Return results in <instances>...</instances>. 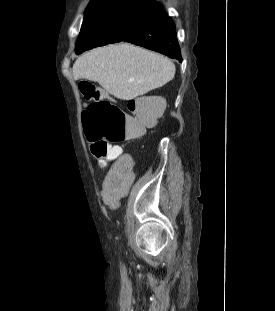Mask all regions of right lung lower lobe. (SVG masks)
Listing matches in <instances>:
<instances>
[{
  "label": "right lung lower lobe",
  "mask_w": 275,
  "mask_h": 311,
  "mask_svg": "<svg viewBox=\"0 0 275 311\" xmlns=\"http://www.w3.org/2000/svg\"><path fill=\"white\" fill-rule=\"evenodd\" d=\"M121 41L160 52L180 62L182 60L175 24L161 9L132 26Z\"/></svg>",
  "instance_id": "obj_1"
}]
</instances>
